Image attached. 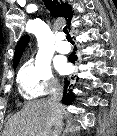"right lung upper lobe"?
I'll return each mask as SVG.
<instances>
[{"instance_id":"obj_1","label":"right lung upper lobe","mask_w":117,"mask_h":136,"mask_svg":"<svg viewBox=\"0 0 117 136\" xmlns=\"http://www.w3.org/2000/svg\"><path fill=\"white\" fill-rule=\"evenodd\" d=\"M45 6L50 11L51 15L54 17H64L67 21V24L70 25L71 18L73 16L72 10L68 4H59L57 0H43ZM29 42V36L24 35L19 40L15 53H14V68L18 65V62L21 58V55Z\"/></svg>"}]
</instances>
